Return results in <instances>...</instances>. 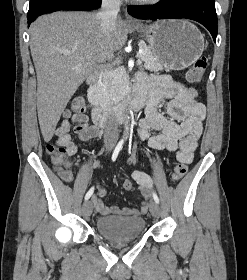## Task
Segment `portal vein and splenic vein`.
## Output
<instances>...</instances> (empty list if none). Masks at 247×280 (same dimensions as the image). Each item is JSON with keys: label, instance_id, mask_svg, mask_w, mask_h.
Instances as JSON below:
<instances>
[{"label": "portal vein and splenic vein", "instance_id": "18ae733b", "mask_svg": "<svg viewBox=\"0 0 247 280\" xmlns=\"http://www.w3.org/2000/svg\"><path fill=\"white\" fill-rule=\"evenodd\" d=\"M141 63H142V61L140 59H137V64H141Z\"/></svg>", "mask_w": 247, "mask_h": 280}]
</instances>
